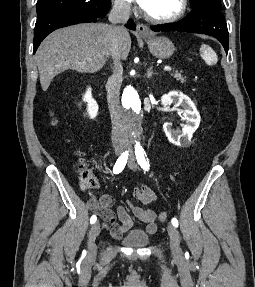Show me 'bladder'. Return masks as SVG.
<instances>
[{
  "label": "bladder",
  "instance_id": "bladder-1",
  "mask_svg": "<svg viewBox=\"0 0 255 287\" xmlns=\"http://www.w3.org/2000/svg\"><path fill=\"white\" fill-rule=\"evenodd\" d=\"M121 242L128 247H143L150 242V236L142 229H134L122 237Z\"/></svg>",
  "mask_w": 255,
  "mask_h": 287
}]
</instances>
